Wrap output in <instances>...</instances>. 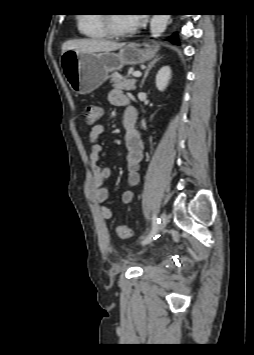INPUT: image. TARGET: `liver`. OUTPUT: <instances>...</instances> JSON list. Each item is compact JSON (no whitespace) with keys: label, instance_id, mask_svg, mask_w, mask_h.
Segmentation results:
<instances>
[{"label":"liver","instance_id":"6515ba94","mask_svg":"<svg viewBox=\"0 0 254 355\" xmlns=\"http://www.w3.org/2000/svg\"><path fill=\"white\" fill-rule=\"evenodd\" d=\"M125 46L124 43L107 41L102 39H74L66 41L62 45V53L67 50H75L84 53L110 52Z\"/></svg>","mask_w":254,"mask_h":355}]
</instances>
